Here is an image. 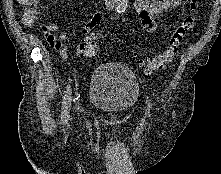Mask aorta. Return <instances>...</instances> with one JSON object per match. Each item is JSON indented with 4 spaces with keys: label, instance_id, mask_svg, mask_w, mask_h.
Wrapping results in <instances>:
<instances>
[{
    "label": "aorta",
    "instance_id": "1",
    "mask_svg": "<svg viewBox=\"0 0 221 174\" xmlns=\"http://www.w3.org/2000/svg\"><path fill=\"white\" fill-rule=\"evenodd\" d=\"M127 1L128 0H110V2L113 4V8L117 12H124L127 7Z\"/></svg>",
    "mask_w": 221,
    "mask_h": 174
}]
</instances>
